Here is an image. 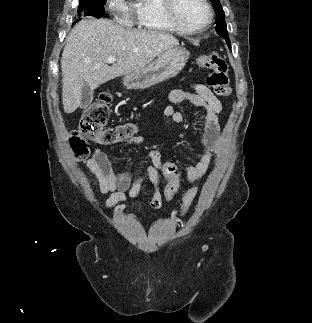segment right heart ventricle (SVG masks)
<instances>
[{"instance_id":"right-heart-ventricle-1","label":"right heart ventricle","mask_w":312,"mask_h":323,"mask_svg":"<svg viewBox=\"0 0 312 323\" xmlns=\"http://www.w3.org/2000/svg\"><path fill=\"white\" fill-rule=\"evenodd\" d=\"M136 29H179V22L168 18L164 1L147 0L145 5L130 9Z\"/></svg>"}]
</instances>
